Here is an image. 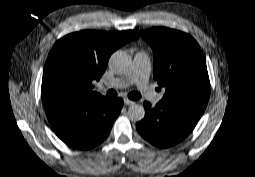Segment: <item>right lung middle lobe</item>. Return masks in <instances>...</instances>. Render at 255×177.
<instances>
[{"label":"right lung middle lobe","instance_id":"right-lung-middle-lobe-1","mask_svg":"<svg viewBox=\"0 0 255 177\" xmlns=\"http://www.w3.org/2000/svg\"><path fill=\"white\" fill-rule=\"evenodd\" d=\"M75 92L70 86H65L57 90L54 94V100L56 102H65L70 100H75Z\"/></svg>","mask_w":255,"mask_h":177}]
</instances>
